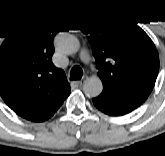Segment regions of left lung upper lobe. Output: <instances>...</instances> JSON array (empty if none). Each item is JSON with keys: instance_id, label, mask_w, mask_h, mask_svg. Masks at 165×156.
Returning <instances> with one entry per match:
<instances>
[{"instance_id": "obj_1", "label": "left lung upper lobe", "mask_w": 165, "mask_h": 156, "mask_svg": "<svg viewBox=\"0 0 165 156\" xmlns=\"http://www.w3.org/2000/svg\"><path fill=\"white\" fill-rule=\"evenodd\" d=\"M79 28L89 34L103 92L127 107H139L159 71L152 40L139 26L119 18L94 17Z\"/></svg>"}]
</instances>
